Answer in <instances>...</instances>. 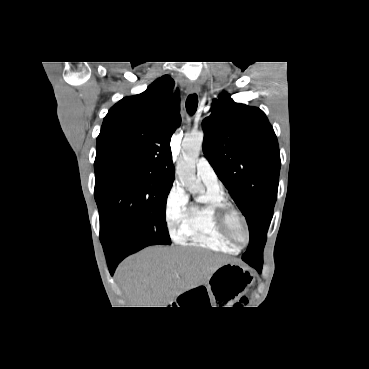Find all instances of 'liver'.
Segmentation results:
<instances>
[{"label": "liver", "instance_id": "6515ba94", "mask_svg": "<svg viewBox=\"0 0 369 369\" xmlns=\"http://www.w3.org/2000/svg\"><path fill=\"white\" fill-rule=\"evenodd\" d=\"M225 263V257L199 248L154 246L127 258L117 277L132 307H167Z\"/></svg>", "mask_w": 369, "mask_h": 369}]
</instances>
